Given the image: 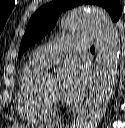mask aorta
I'll use <instances>...</instances> for the list:
<instances>
[{
    "label": "aorta",
    "instance_id": "762f6f07",
    "mask_svg": "<svg viewBox=\"0 0 125 128\" xmlns=\"http://www.w3.org/2000/svg\"><path fill=\"white\" fill-rule=\"evenodd\" d=\"M65 29L87 31L96 40L99 69L96 83L73 128H96L112 96L120 54V37L109 15L101 8L82 6L62 19Z\"/></svg>",
    "mask_w": 125,
    "mask_h": 128
}]
</instances>
